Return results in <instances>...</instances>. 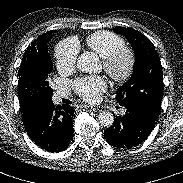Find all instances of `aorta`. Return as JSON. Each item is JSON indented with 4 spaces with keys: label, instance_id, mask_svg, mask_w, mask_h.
Here are the masks:
<instances>
[{
    "label": "aorta",
    "instance_id": "762f6f07",
    "mask_svg": "<svg viewBox=\"0 0 183 183\" xmlns=\"http://www.w3.org/2000/svg\"><path fill=\"white\" fill-rule=\"evenodd\" d=\"M77 68L84 73H98L101 70L97 55L93 52H85L78 57ZM101 126L110 127L114 123V116L109 111H103L98 115Z\"/></svg>",
    "mask_w": 183,
    "mask_h": 183
}]
</instances>
